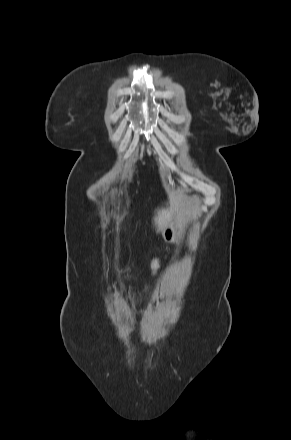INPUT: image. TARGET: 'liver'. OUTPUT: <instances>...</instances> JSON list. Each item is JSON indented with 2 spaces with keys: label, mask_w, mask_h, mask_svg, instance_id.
<instances>
[{
  "label": "liver",
  "mask_w": 291,
  "mask_h": 440,
  "mask_svg": "<svg viewBox=\"0 0 291 440\" xmlns=\"http://www.w3.org/2000/svg\"><path fill=\"white\" fill-rule=\"evenodd\" d=\"M181 195H172L170 197V208L158 210L154 218L158 231L162 230L172 218L174 210L179 206Z\"/></svg>",
  "instance_id": "1"
}]
</instances>
